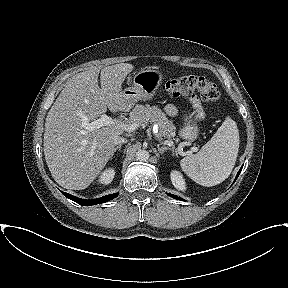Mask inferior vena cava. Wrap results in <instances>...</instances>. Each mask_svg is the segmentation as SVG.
<instances>
[{
    "label": "inferior vena cava",
    "mask_w": 288,
    "mask_h": 288,
    "mask_svg": "<svg viewBox=\"0 0 288 288\" xmlns=\"http://www.w3.org/2000/svg\"><path fill=\"white\" fill-rule=\"evenodd\" d=\"M126 142H127V140L125 138H123V137H120V136H115L113 138L114 145H120V144H123V143H126Z\"/></svg>",
    "instance_id": "602c4592"
}]
</instances>
